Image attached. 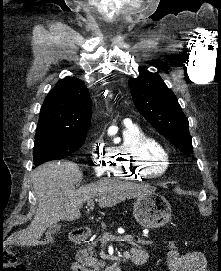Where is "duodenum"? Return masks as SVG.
<instances>
[{
	"instance_id": "1",
	"label": "duodenum",
	"mask_w": 221,
	"mask_h": 271,
	"mask_svg": "<svg viewBox=\"0 0 221 271\" xmlns=\"http://www.w3.org/2000/svg\"><path fill=\"white\" fill-rule=\"evenodd\" d=\"M90 237V232L88 230H75L71 234V241L74 244H83L88 241ZM126 259L131 260L137 265H141L146 261L145 256H132L129 253H126L124 256ZM71 270L72 271H87V269L77 261H71ZM103 271H121V268L118 263L111 264L107 266Z\"/></svg>"
}]
</instances>
